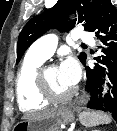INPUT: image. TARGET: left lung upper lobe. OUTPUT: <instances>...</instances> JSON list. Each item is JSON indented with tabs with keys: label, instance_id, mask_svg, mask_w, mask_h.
<instances>
[{
	"label": "left lung upper lobe",
	"instance_id": "obj_1",
	"mask_svg": "<svg viewBox=\"0 0 117 131\" xmlns=\"http://www.w3.org/2000/svg\"><path fill=\"white\" fill-rule=\"evenodd\" d=\"M110 0H58L55 6L42 15L33 17L22 29L17 45V60L27 48L40 36L52 27H59L60 30L69 31L77 24H82L86 31L93 32L98 25L102 12ZM78 12V20L68 21L66 16ZM82 63L86 60V54L81 53L78 57Z\"/></svg>",
	"mask_w": 117,
	"mask_h": 131
}]
</instances>
